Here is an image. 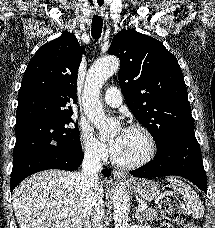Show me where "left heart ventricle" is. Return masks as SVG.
<instances>
[{
	"label": "left heart ventricle",
	"instance_id": "left-heart-ventricle-1",
	"mask_svg": "<svg viewBox=\"0 0 215 228\" xmlns=\"http://www.w3.org/2000/svg\"><path fill=\"white\" fill-rule=\"evenodd\" d=\"M147 144L144 135L138 130H126L125 140L114 157L123 162H133L146 151Z\"/></svg>",
	"mask_w": 215,
	"mask_h": 228
}]
</instances>
